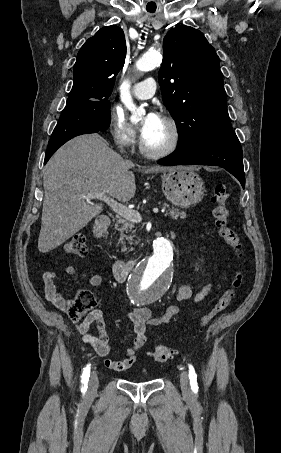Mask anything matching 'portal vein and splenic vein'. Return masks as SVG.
<instances>
[{
	"label": "portal vein and splenic vein",
	"mask_w": 281,
	"mask_h": 453,
	"mask_svg": "<svg viewBox=\"0 0 281 453\" xmlns=\"http://www.w3.org/2000/svg\"><path fill=\"white\" fill-rule=\"evenodd\" d=\"M84 198H98V200H104V202H107V204L113 208L114 212H117V214H120V216H123L126 220H132V222H141L142 220V216L138 210H132V208L124 206V204L117 202V200H114L111 196H107L105 192H92V190H90V192L84 194ZM153 210V214L159 212L158 208H153Z\"/></svg>",
	"instance_id": "portal-vein-and-splenic-vein-1"
}]
</instances>
